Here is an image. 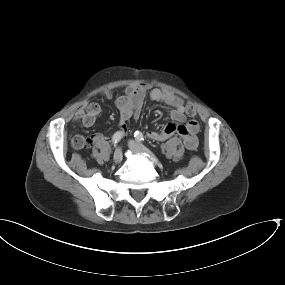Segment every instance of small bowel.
I'll list each match as a JSON object with an SVG mask.
<instances>
[{
    "mask_svg": "<svg viewBox=\"0 0 285 285\" xmlns=\"http://www.w3.org/2000/svg\"><path fill=\"white\" fill-rule=\"evenodd\" d=\"M146 93V85H130L125 89V93L117 98L116 107L119 112V126L122 134L126 132L127 121L139 117ZM112 95L111 90L104 93L106 98H111ZM149 96L152 101L164 103L171 107L170 118L172 122L161 129L148 131V138L163 141L173 135H179L186 149L195 150L199 143L197 137L199 124L196 120L186 122L188 106L184 104L183 100L173 93H167L158 88L152 89ZM100 113L101 107L99 104L84 103L76 108L73 118L74 120H80L86 127H90L96 122ZM88 138L90 145H92L100 141L102 135H90Z\"/></svg>",
    "mask_w": 285,
    "mask_h": 285,
    "instance_id": "small-bowel-1",
    "label": "small bowel"
}]
</instances>
